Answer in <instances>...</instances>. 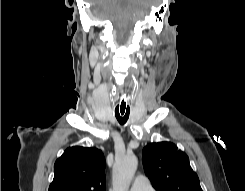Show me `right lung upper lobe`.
Instances as JSON below:
<instances>
[{
    "label": "right lung upper lobe",
    "instance_id": "right-lung-upper-lobe-1",
    "mask_svg": "<svg viewBox=\"0 0 245 191\" xmlns=\"http://www.w3.org/2000/svg\"><path fill=\"white\" fill-rule=\"evenodd\" d=\"M104 166V155L97 148H68L55 162L49 191H106Z\"/></svg>",
    "mask_w": 245,
    "mask_h": 191
}]
</instances>
